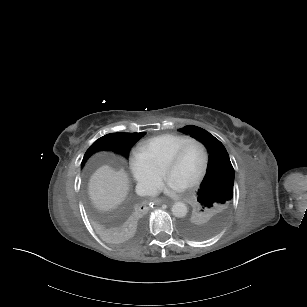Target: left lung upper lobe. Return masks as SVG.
I'll return each instance as SVG.
<instances>
[{
	"mask_svg": "<svg viewBox=\"0 0 307 307\" xmlns=\"http://www.w3.org/2000/svg\"><path fill=\"white\" fill-rule=\"evenodd\" d=\"M209 152L206 175L197 192L193 214L184 219L182 232L194 239H206L216 234L225 223L233 199L234 169L223 144L206 130L185 126Z\"/></svg>",
	"mask_w": 307,
	"mask_h": 307,
	"instance_id": "1",
	"label": "left lung upper lobe"
}]
</instances>
